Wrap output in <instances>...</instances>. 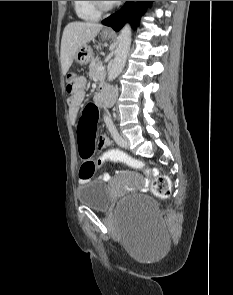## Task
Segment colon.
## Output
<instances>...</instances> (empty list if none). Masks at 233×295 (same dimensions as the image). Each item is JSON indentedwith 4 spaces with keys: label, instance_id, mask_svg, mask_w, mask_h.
<instances>
[{
    "label": "colon",
    "instance_id": "obj_1",
    "mask_svg": "<svg viewBox=\"0 0 233 295\" xmlns=\"http://www.w3.org/2000/svg\"><path fill=\"white\" fill-rule=\"evenodd\" d=\"M84 90L85 80L83 77L73 72L66 75V91L69 98L84 94ZM96 118L97 114L95 112L85 110L79 121V152L82 158L79 177L82 180H88L94 176L98 167L108 163H121L134 169H144L142 161L118 149L108 150L97 160L92 158L95 149ZM151 191L156 198H168L171 191L169 177L162 175L155 178L151 185Z\"/></svg>",
    "mask_w": 233,
    "mask_h": 295
}]
</instances>
